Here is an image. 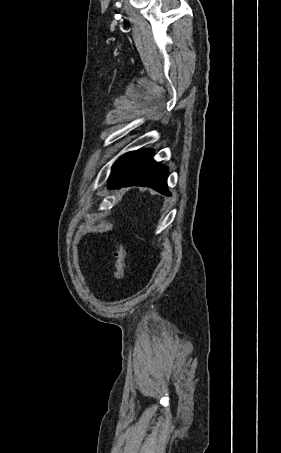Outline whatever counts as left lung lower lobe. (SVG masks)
<instances>
[{"mask_svg":"<svg viewBox=\"0 0 281 453\" xmlns=\"http://www.w3.org/2000/svg\"><path fill=\"white\" fill-rule=\"evenodd\" d=\"M153 150H139L121 156L113 165L109 188L122 186H147L164 195L167 188L168 168L152 159Z\"/></svg>","mask_w":281,"mask_h":453,"instance_id":"left-lung-lower-lobe-1","label":"left lung lower lobe"}]
</instances>
